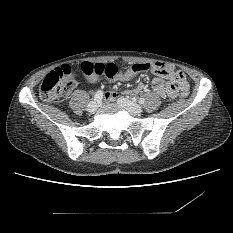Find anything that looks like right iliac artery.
<instances>
[{"label":"right iliac artery","instance_id":"1","mask_svg":"<svg viewBox=\"0 0 233 233\" xmlns=\"http://www.w3.org/2000/svg\"><path fill=\"white\" fill-rule=\"evenodd\" d=\"M102 97H103L102 91H97L96 94L94 95V100L99 102L101 101Z\"/></svg>","mask_w":233,"mask_h":233}]
</instances>
